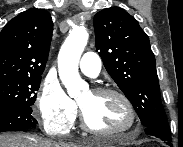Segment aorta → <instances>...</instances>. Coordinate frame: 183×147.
Instances as JSON below:
<instances>
[{"mask_svg":"<svg viewBox=\"0 0 183 147\" xmlns=\"http://www.w3.org/2000/svg\"><path fill=\"white\" fill-rule=\"evenodd\" d=\"M89 34L84 27L74 28L64 41L58 55L59 76L72 98H77L88 84L81 79L78 64Z\"/></svg>","mask_w":183,"mask_h":147,"instance_id":"762f6f07","label":"aorta"}]
</instances>
